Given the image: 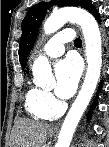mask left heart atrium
I'll return each instance as SVG.
<instances>
[{
    "mask_svg": "<svg viewBox=\"0 0 109 147\" xmlns=\"http://www.w3.org/2000/svg\"><path fill=\"white\" fill-rule=\"evenodd\" d=\"M81 74L80 63L75 56H68L55 66L54 92L62 99L70 98L76 91Z\"/></svg>",
    "mask_w": 109,
    "mask_h": 147,
    "instance_id": "39dd6f15",
    "label": "left heart atrium"
}]
</instances>
